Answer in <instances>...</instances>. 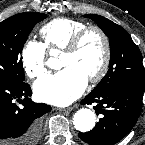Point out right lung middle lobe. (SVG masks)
I'll list each match as a JSON object with an SVG mask.
<instances>
[{
    "label": "right lung middle lobe",
    "instance_id": "1",
    "mask_svg": "<svg viewBox=\"0 0 145 145\" xmlns=\"http://www.w3.org/2000/svg\"><path fill=\"white\" fill-rule=\"evenodd\" d=\"M46 14L25 12L0 23V81L12 83L25 80L20 54L33 27Z\"/></svg>",
    "mask_w": 145,
    "mask_h": 145
}]
</instances>
